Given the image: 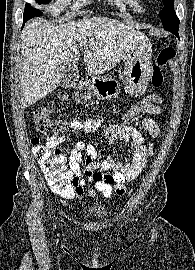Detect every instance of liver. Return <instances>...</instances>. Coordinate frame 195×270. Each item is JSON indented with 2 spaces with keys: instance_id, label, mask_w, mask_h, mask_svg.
I'll return each instance as SVG.
<instances>
[{
  "instance_id": "liver-1",
  "label": "liver",
  "mask_w": 195,
  "mask_h": 270,
  "mask_svg": "<svg viewBox=\"0 0 195 270\" xmlns=\"http://www.w3.org/2000/svg\"><path fill=\"white\" fill-rule=\"evenodd\" d=\"M145 34L107 17L83 18L59 26L43 19L29 22L21 34L22 98L29 107L56 89L61 65L75 64L84 46V63L90 75L114 68Z\"/></svg>"
}]
</instances>
